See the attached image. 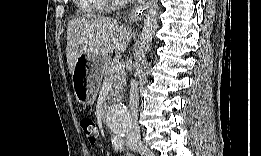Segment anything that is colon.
Segmentation results:
<instances>
[{"instance_id": "5ec220e1", "label": "colon", "mask_w": 261, "mask_h": 156, "mask_svg": "<svg viewBox=\"0 0 261 156\" xmlns=\"http://www.w3.org/2000/svg\"><path fill=\"white\" fill-rule=\"evenodd\" d=\"M81 128L90 144H95L99 137V129L95 121L88 116H85L80 121Z\"/></svg>"}]
</instances>
